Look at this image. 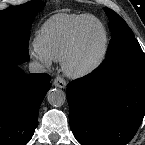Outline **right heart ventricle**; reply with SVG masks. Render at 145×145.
I'll return each instance as SVG.
<instances>
[{
    "label": "right heart ventricle",
    "mask_w": 145,
    "mask_h": 145,
    "mask_svg": "<svg viewBox=\"0 0 145 145\" xmlns=\"http://www.w3.org/2000/svg\"><path fill=\"white\" fill-rule=\"evenodd\" d=\"M92 18L94 16L90 14L53 15L38 30L34 39L35 48L51 60H63L74 43L77 28Z\"/></svg>",
    "instance_id": "1"
}]
</instances>
